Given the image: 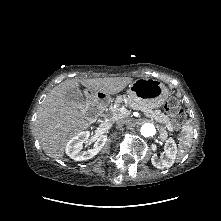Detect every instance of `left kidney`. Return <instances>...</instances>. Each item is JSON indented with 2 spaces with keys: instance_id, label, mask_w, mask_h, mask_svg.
I'll return each mask as SVG.
<instances>
[{
  "instance_id": "left-kidney-1",
  "label": "left kidney",
  "mask_w": 221,
  "mask_h": 221,
  "mask_svg": "<svg viewBox=\"0 0 221 221\" xmlns=\"http://www.w3.org/2000/svg\"><path fill=\"white\" fill-rule=\"evenodd\" d=\"M164 149L165 159L159 160L157 154H153L151 158L152 165L161 170L170 168L174 164L177 156V146L172 138L166 140Z\"/></svg>"
}]
</instances>
